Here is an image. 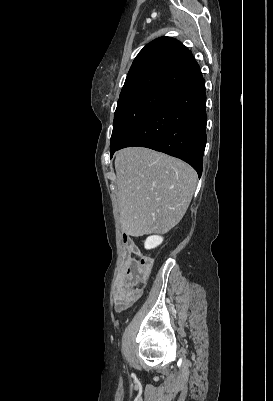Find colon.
<instances>
[{
  "label": "colon",
  "mask_w": 273,
  "mask_h": 401,
  "mask_svg": "<svg viewBox=\"0 0 273 401\" xmlns=\"http://www.w3.org/2000/svg\"><path fill=\"white\" fill-rule=\"evenodd\" d=\"M127 256L122 267L119 268L117 285L113 290L115 297H141L143 294L142 286L135 282H147L148 276L151 274L152 259L151 257H130L132 252L127 250Z\"/></svg>",
  "instance_id": "1"
}]
</instances>
